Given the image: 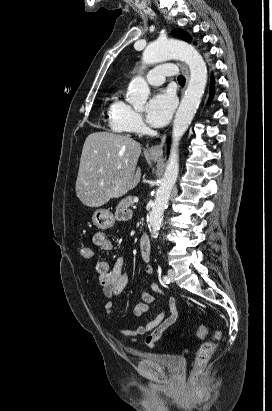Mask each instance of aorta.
Returning <instances> with one entry per match:
<instances>
[{"label":"aorta","instance_id":"obj_1","mask_svg":"<svg viewBox=\"0 0 272 411\" xmlns=\"http://www.w3.org/2000/svg\"><path fill=\"white\" fill-rule=\"evenodd\" d=\"M171 58H178L189 66L190 79L174 118L170 157L148 217L150 231L153 234H157L160 230L163 214L178 176L179 141L199 107L207 83L206 63L199 52L186 42L174 39L157 40L146 47L142 60L144 64H153ZM149 93L150 89L146 81L141 76H137L129 84L127 100L135 109L142 110Z\"/></svg>","mask_w":272,"mask_h":411}]
</instances>
